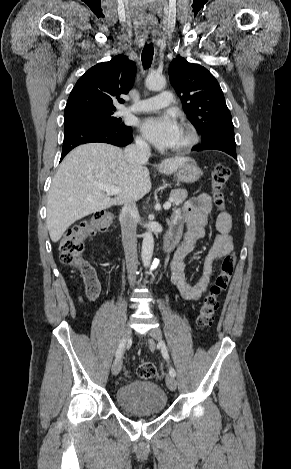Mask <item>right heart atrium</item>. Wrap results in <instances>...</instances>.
I'll use <instances>...</instances> for the list:
<instances>
[{"label": "right heart atrium", "instance_id": "d8ad5b80", "mask_svg": "<svg viewBox=\"0 0 291 469\" xmlns=\"http://www.w3.org/2000/svg\"><path fill=\"white\" fill-rule=\"evenodd\" d=\"M136 144H137V146H138L139 148H141V149H146V148H147V143H146V141H145L143 138H141V137H137V139H136Z\"/></svg>", "mask_w": 291, "mask_h": 469}]
</instances>
